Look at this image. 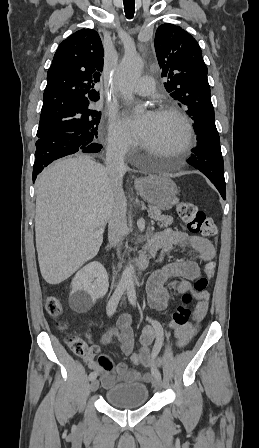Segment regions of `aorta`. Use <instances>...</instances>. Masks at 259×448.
Listing matches in <instances>:
<instances>
[{"mask_svg": "<svg viewBox=\"0 0 259 448\" xmlns=\"http://www.w3.org/2000/svg\"><path fill=\"white\" fill-rule=\"evenodd\" d=\"M143 62L138 55L130 54L124 56L117 69V85L126 100H133V87L141 76ZM121 283L130 294L135 293L133 270L126 266L123 270Z\"/></svg>", "mask_w": 259, "mask_h": 448, "instance_id": "obj_1", "label": "aorta"}]
</instances>
